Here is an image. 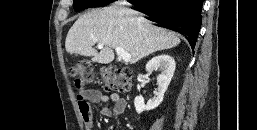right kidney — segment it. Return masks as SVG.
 <instances>
[{
    "label": "right kidney",
    "mask_w": 257,
    "mask_h": 130,
    "mask_svg": "<svg viewBox=\"0 0 257 130\" xmlns=\"http://www.w3.org/2000/svg\"><path fill=\"white\" fill-rule=\"evenodd\" d=\"M158 68L161 73L157 77L158 89L156 96L151 98L146 105L142 96H136L134 99V106L138 114L145 110L155 109L161 104L176 68L175 60L171 56L163 54L152 58L146 64V72L148 73Z\"/></svg>",
    "instance_id": "right-kidney-1"
}]
</instances>
